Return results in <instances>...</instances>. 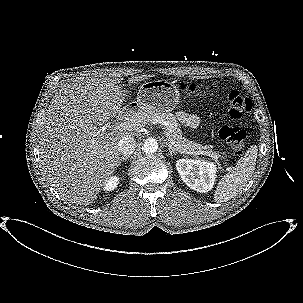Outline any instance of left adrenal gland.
<instances>
[{
	"label": "left adrenal gland",
	"mask_w": 303,
	"mask_h": 303,
	"mask_svg": "<svg viewBox=\"0 0 303 303\" xmlns=\"http://www.w3.org/2000/svg\"><path fill=\"white\" fill-rule=\"evenodd\" d=\"M166 145L169 149L170 155H176L178 153V150L176 148H174L170 143L166 142Z\"/></svg>",
	"instance_id": "obj_1"
}]
</instances>
